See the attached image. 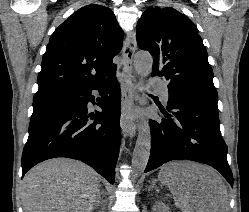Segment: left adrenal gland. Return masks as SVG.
<instances>
[{
  "label": "left adrenal gland",
  "instance_id": "obj_1",
  "mask_svg": "<svg viewBox=\"0 0 249 212\" xmlns=\"http://www.w3.org/2000/svg\"><path fill=\"white\" fill-rule=\"evenodd\" d=\"M152 190H155L156 194H158V192H159V190H157V188H156L155 180H152V184H151L150 190H148V192H152Z\"/></svg>",
  "mask_w": 249,
  "mask_h": 212
}]
</instances>
